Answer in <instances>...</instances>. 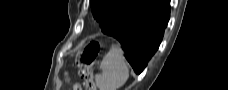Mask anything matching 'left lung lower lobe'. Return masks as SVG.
Returning a JSON list of instances; mask_svg holds the SVG:
<instances>
[{"label": "left lung lower lobe", "mask_w": 228, "mask_h": 90, "mask_svg": "<svg viewBox=\"0 0 228 90\" xmlns=\"http://www.w3.org/2000/svg\"><path fill=\"white\" fill-rule=\"evenodd\" d=\"M170 18L169 0H133L128 11L103 30L116 38L136 74L158 49Z\"/></svg>", "instance_id": "0a47b994"}]
</instances>
